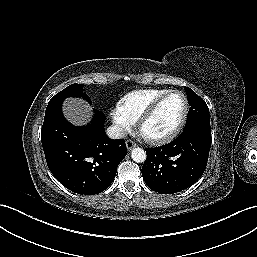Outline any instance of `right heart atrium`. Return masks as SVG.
<instances>
[{"instance_id": "right-heart-atrium-1", "label": "right heart atrium", "mask_w": 257, "mask_h": 257, "mask_svg": "<svg viewBox=\"0 0 257 257\" xmlns=\"http://www.w3.org/2000/svg\"><path fill=\"white\" fill-rule=\"evenodd\" d=\"M110 116L115 129L120 136L127 134L133 128L134 121L126 114L119 104L111 110Z\"/></svg>"}]
</instances>
